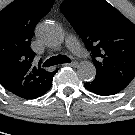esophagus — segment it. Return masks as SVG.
Segmentation results:
<instances>
[{"mask_svg": "<svg viewBox=\"0 0 135 135\" xmlns=\"http://www.w3.org/2000/svg\"><path fill=\"white\" fill-rule=\"evenodd\" d=\"M64 65L71 66V67H76L78 65V62L74 61V62L67 63V64H64Z\"/></svg>", "mask_w": 135, "mask_h": 135, "instance_id": "1", "label": "esophagus"}]
</instances>
